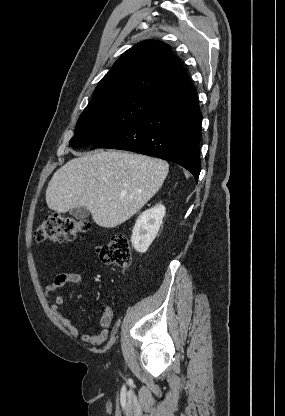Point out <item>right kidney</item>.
Masks as SVG:
<instances>
[{"instance_id": "1", "label": "right kidney", "mask_w": 285, "mask_h": 416, "mask_svg": "<svg viewBox=\"0 0 285 416\" xmlns=\"http://www.w3.org/2000/svg\"><path fill=\"white\" fill-rule=\"evenodd\" d=\"M165 212L166 208L163 204H156L140 214L131 236L132 246L136 252L141 254L147 252L162 226Z\"/></svg>"}]
</instances>
